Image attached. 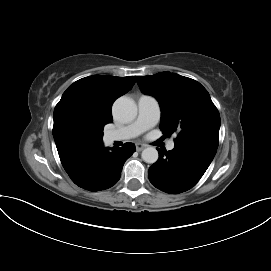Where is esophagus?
<instances>
[{
    "label": "esophagus",
    "mask_w": 271,
    "mask_h": 271,
    "mask_svg": "<svg viewBox=\"0 0 271 271\" xmlns=\"http://www.w3.org/2000/svg\"><path fill=\"white\" fill-rule=\"evenodd\" d=\"M144 148H146V145H145V144H141V143H137V144H136V150H137V151H141V150H143Z\"/></svg>",
    "instance_id": "1"
}]
</instances>
